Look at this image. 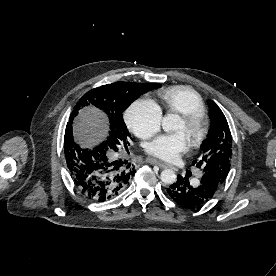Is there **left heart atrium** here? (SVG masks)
<instances>
[{
	"mask_svg": "<svg viewBox=\"0 0 276 276\" xmlns=\"http://www.w3.org/2000/svg\"><path fill=\"white\" fill-rule=\"evenodd\" d=\"M189 143L182 133L160 136L146 145V152L165 161H174L188 151Z\"/></svg>",
	"mask_w": 276,
	"mask_h": 276,
	"instance_id": "39dd6f15",
	"label": "left heart atrium"
}]
</instances>
